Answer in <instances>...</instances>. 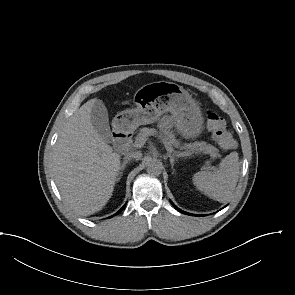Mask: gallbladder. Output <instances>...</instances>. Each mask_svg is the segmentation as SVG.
<instances>
[{
    "instance_id": "gallbladder-1",
    "label": "gallbladder",
    "mask_w": 295,
    "mask_h": 295,
    "mask_svg": "<svg viewBox=\"0 0 295 295\" xmlns=\"http://www.w3.org/2000/svg\"><path fill=\"white\" fill-rule=\"evenodd\" d=\"M91 122L105 142H111V131L107 108L101 100H96L91 111Z\"/></svg>"
}]
</instances>
